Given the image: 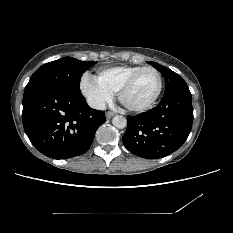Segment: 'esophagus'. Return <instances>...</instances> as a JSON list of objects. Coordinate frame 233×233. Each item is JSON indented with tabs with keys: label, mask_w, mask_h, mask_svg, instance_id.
<instances>
[{
	"label": "esophagus",
	"mask_w": 233,
	"mask_h": 233,
	"mask_svg": "<svg viewBox=\"0 0 233 233\" xmlns=\"http://www.w3.org/2000/svg\"><path fill=\"white\" fill-rule=\"evenodd\" d=\"M114 115H115V113L109 111L106 113V118L111 119Z\"/></svg>",
	"instance_id": "34e87169"
}]
</instances>
